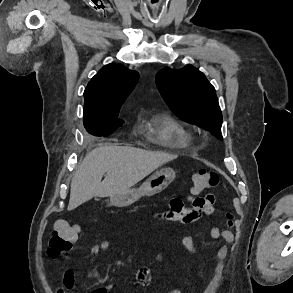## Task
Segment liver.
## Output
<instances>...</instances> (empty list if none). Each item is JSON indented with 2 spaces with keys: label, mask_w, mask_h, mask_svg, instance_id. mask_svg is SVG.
<instances>
[{
  "label": "liver",
  "mask_w": 293,
  "mask_h": 293,
  "mask_svg": "<svg viewBox=\"0 0 293 293\" xmlns=\"http://www.w3.org/2000/svg\"><path fill=\"white\" fill-rule=\"evenodd\" d=\"M176 158L174 154L133 147L100 146L89 152L79 164L71 182L68 210L93 197H111L124 193L154 170Z\"/></svg>",
  "instance_id": "6515ba94"
}]
</instances>
